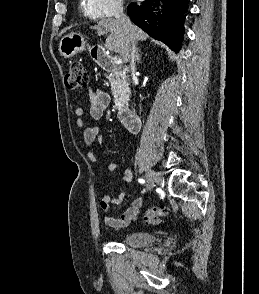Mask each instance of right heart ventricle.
<instances>
[{
	"label": "right heart ventricle",
	"mask_w": 259,
	"mask_h": 294,
	"mask_svg": "<svg viewBox=\"0 0 259 294\" xmlns=\"http://www.w3.org/2000/svg\"><path fill=\"white\" fill-rule=\"evenodd\" d=\"M80 10L82 11V13L89 17V18H94L96 15L94 14V12L92 11L90 5H89V1L88 0H81L80 3Z\"/></svg>",
	"instance_id": "right-heart-ventricle-1"
}]
</instances>
